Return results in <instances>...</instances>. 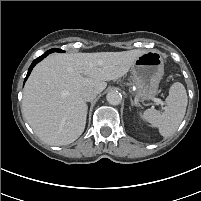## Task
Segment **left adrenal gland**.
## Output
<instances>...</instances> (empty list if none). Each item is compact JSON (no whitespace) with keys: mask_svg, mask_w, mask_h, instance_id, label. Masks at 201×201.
Here are the masks:
<instances>
[{"mask_svg":"<svg viewBox=\"0 0 201 201\" xmlns=\"http://www.w3.org/2000/svg\"><path fill=\"white\" fill-rule=\"evenodd\" d=\"M130 101H131V105L134 106L135 103L133 102L132 98H130Z\"/></svg>","mask_w":201,"mask_h":201,"instance_id":"left-adrenal-gland-1","label":"left adrenal gland"}]
</instances>
